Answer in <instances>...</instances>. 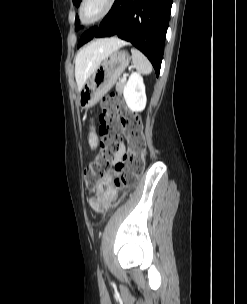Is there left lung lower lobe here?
Here are the masks:
<instances>
[{
  "label": "left lung lower lobe",
  "mask_w": 247,
  "mask_h": 304,
  "mask_svg": "<svg viewBox=\"0 0 247 304\" xmlns=\"http://www.w3.org/2000/svg\"><path fill=\"white\" fill-rule=\"evenodd\" d=\"M172 2L173 0H115L100 26L82 34L78 47L94 37L117 35L144 53L158 76Z\"/></svg>",
  "instance_id": "0a47b994"
}]
</instances>
